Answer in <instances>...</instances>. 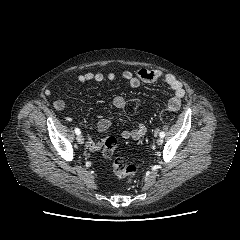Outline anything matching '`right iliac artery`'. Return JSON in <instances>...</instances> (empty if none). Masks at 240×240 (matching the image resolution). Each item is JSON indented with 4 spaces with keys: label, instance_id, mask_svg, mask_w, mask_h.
Wrapping results in <instances>:
<instances>
[{
    "label": "right iliac artery",
    "instance_id": "1",
    "mask_svg": "<svg viewBox=\"0 0 240 240\" xmlns=\"http://www.w3.org/2000/svg\"><path fill=\"white\" fill-rule=\"evenodd\" d=\"M75 133H76L77 135H79V134L81 133L80 129H79V128H75Z\"/></svg>",
    "mask_w": 240,
    "mask_h": 240
}]
</instances>
